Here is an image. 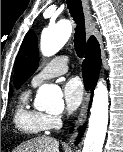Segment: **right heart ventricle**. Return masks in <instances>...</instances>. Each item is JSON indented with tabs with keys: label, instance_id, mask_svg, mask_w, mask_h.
I'll return each mask as SVG.
<instances>
[{
	"label": "right heart ventricle",
	"instance_id": "e07e8e85",
	"mask_svg": "<svg viewBox=\"0 0 123 152\" xmlns=\"http://www.w3.org/2000/svg\"><path fill=\"white\" fill-rule=\"evenodd\" d=\"M29 96V91H25L20 96L13 121L15 126L24 133L42 135L48 130L46 125L47 115L30 107Z\"/></svg>",
	"mask_w": 123,
	"mask_h": 152
}]
</instances>
